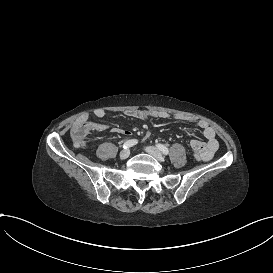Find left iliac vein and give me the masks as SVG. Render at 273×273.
I'll use <instances>...</instances> for the list:
<instances>
[{"mask_svg":"<svg viewBox=\"0 0 273 273\" xmlns=\"http://www.w3.org/2000/svg\"><path fill=\"white\" fill-rule=\"evenodd\" d=\"M150 155L154 156L158 161L162 162L163 161V156L162 153L155 147L153 146H148L145 149Z\"/></svg>","mask_w":273,"mask_h":273,"instance_id":"left-iliac-vein-1","label":"left iliac vein"}]
</instances>
